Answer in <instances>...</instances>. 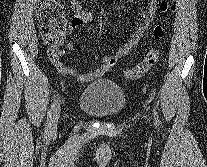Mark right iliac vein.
Wrapping results in <instances>:
<instances>
[{
    "instance_id": "63e3f726",
    "label": "right iliac vein",
    "mask_w": 207,
    "mask_h": 167,
    "mask_svg": "<svg viewBox=\"0 0 207 167\" xmlns=\"http://www.w3.org/2000/svg\"><path fill=\"white\" fill-rule=\"evenodd\" d=\"M60 117V106L56 109L54 116H53V120H52V125H51V130H55L58 120Z\"/></svg>"
}]
</instances>
